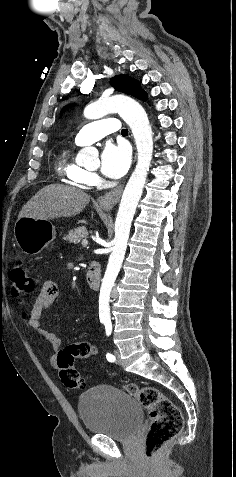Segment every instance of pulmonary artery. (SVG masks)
<instances>
[{"mask_svg": "<svg viewBox=\"0 0 236 477\" xmlns=\"http://www.w3.org/2000/svg\"><path fill=\"white\" fill-rule=\"evenodd\" d=\"M121 131L120 122L116 118H106L85 125L76 135L77 145H86L103 138L111 132Z\"/></svg>", "mask_w": 236, "mask_h": 477, "instance_id": "obj_1", "label": "pulmonary artery"}]
</instances>
